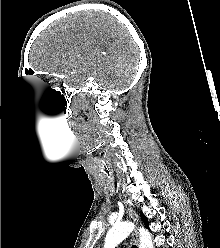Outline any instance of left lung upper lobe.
<instances>
[{
    "mask_svg": "<svg viewBox=\"0 0 220 248\" xmlns=\"http://www.w3.org/2000/svg\"><path fill=\"white\" fill-rule=\"evenodd\" d=\"M141 219L143 220L144 224L148 227L149 226L148 219L144 216L143 213H141Z\"/></svg>",
    "mask_w": 220,
    "mask_h": 248,
    "instance_id": "left-lung-upper-lobe-1",
    "label": "left lung upper lobe"
}]
</instances>
